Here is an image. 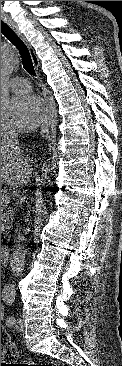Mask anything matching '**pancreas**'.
<instances>
[{
  "mask_svg": "<svg viewBox=\"0 0 122 366\" xmlns=\"http://www.w3.org/2000/svg\"><path fill=\"white\" fill-rule=\"evenodd\" d=\"M9 199V195L6 189H1V233L7 232L9 229L8 223L5 222L6 213H3V208L7 207L6 200Z\"/></svg>",
  "mask_w": 122,
  "mask_h": 366,
  "instance_id": "obj_1",
  "label": "pancreas"
}]
</instances>
